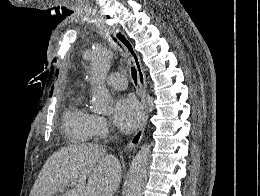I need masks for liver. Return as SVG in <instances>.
Here are the masks:
<instances>
[{"instance_id":"obj_1","label":"liver","mask_w":260,"mask_h":196,"mask_svg":"<svg viewBox=\"0 0 260 196\" xmlns=\"http://www.w3.org/2000/svg\"><path fill=\"white\" fill-rule=\"evenodd\" d=\"M121 180L122 166L106 148L73 144L49 156L29 196H53L70 184L64 196H114Z\"/></svg>"}]
</instances>
